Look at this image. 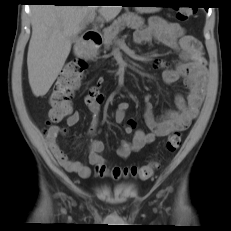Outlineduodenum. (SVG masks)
Listing matches in <instances>:
<instances>
[{"label": "duodenum", "mask_w": 231, "mask_h": 231, "mask_svg": "<svg viewBox=\"0 0 231 231\" xmlns=\"http://www.w3.org/2000/svg\"><path fill=\"white\" fill-rule=\"evenodd\" d=\"M84 46L78 50L81 54L89 53L92 49H96L102 44V36L99 31L88 30L82 35Z\"/></svg>", "instance_id": "obj_1"}]
</instances>
